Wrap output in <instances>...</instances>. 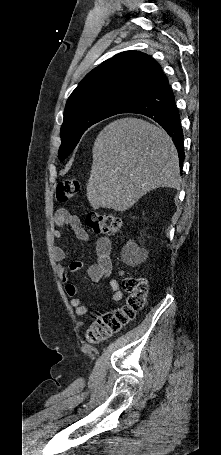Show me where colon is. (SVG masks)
Masks as SVG:
<instances>
[{
  "label": "colon",
  "instance_id": "colon-1",
  "mask_svg": "<svg viewBox=\"0 0 221 455\" xmlns=\"http://www.w3.org/2000/svg\"><path fill=\"white\" fill-rule=\"evenodd\" d=\"M81 188L82 183L78 179L63 180L57 185L56 199L60 203H67ZM86 225L96 234L116 235L121 231L120 219L112 214L89 213L86 216ZM122 285L126 292L125 304L96 318L87 333V339L91 343L100 342L117 333L145 308L148 289L146 278L125 276Z\"/></svg>",
  "mask_w": 221,
  "mask_h": 455
}]
</instances>
